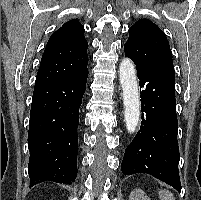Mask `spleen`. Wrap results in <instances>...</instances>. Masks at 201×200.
I'll list each match as a JSON object with an SVG mask.
<instances>
[{"label":"spleen","instance_id":"1","mask_svg":"<svg viewBox=\"0 0 201 200\" xmlns=\"http://www.w3.org/2000/svg\"><path fill=\"white\" fill-rule=\"evenodd\" d=\"M160 200H175L173 194L167 190H160L159 191Z\"/></svg>","mask_w":201,"mask_h":200}]
</instances>
